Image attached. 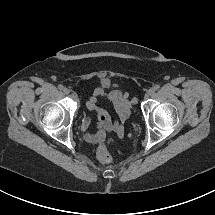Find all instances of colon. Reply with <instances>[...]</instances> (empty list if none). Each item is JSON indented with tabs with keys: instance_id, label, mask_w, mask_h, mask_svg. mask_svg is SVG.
Instances as JSON below:
<instances>
[{
	"instance_id": "1",
	"label": "colon",
	"mask_w": 215,
	"mask_h": 215,
	"mask_svg": "<svg viewBox=\"0 0 215 215\" xmlns=\"http://www.w3.org/2000/svg\"><path fill=\"white\" fill-rule=\"evenodd\" d=\"M97 156H98L99 161H100L102 164L108 165V164H111V163H112V157H111V155L108 153V151H107V149H106V147H105L104 145H101V146L98 148Z\"/></svg>"
}]
</instances>
